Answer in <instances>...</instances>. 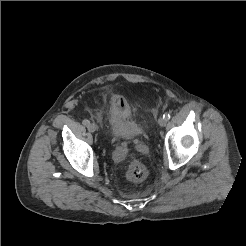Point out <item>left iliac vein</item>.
<instances>
[{
    "mask_svg": "<svg viewBox=\"0 0 246 246\" xmlns=\"http://www.w3.org/2000/svg\"><path fill=\"white\" fill-rule=\"evenodd\" d=\"M167 123V120H165L164 118H159L158 120V124L161 126V127H164Z\"/></svg>",
    "mask_w": 246,
    "mask_h": 246,
    "instance_id": "1",
    "label": "left iliac vein"
}]
</instances>
